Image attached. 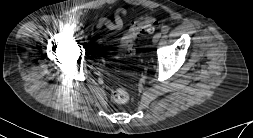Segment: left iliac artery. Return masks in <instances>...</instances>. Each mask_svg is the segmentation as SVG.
I'll return each instance as SVG.
<instances>
[{"instance_id":"obj_1","label":"left iliac artery","mask_w":253,"mask_h":138,"mask_svg":"<svg viewBox=\"0 0 253 138\" xmlns=\"http://www.w3.org/2000/svg\"><path fill=\"white\" fill-rule=\"evenodd\" d=\"M168 27L167 26H163L162 28H161V32H162V34H166L167 32H168Z\"/></svg>"}]
</instances>
